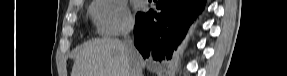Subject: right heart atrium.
<instances>
[{"instance_id":"obj_1","label":"right heart atrium","mask_w":287,"mask_h":76,"mask_svg":"<svg viewBox=\"0 0 287 76\" xmlns=\"http://www.w3.org/2000/svg\"><path fill=\"white\" fill-rule=\"evenodd\" d=\"M92 15L101 34L117 36L127 32L133 23L131 13L122 0H97Z\"/></svg>"}]
</instances>
